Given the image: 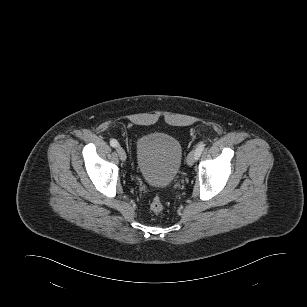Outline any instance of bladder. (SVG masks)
Segmentation results:
<instances>
[{
  "instance_id": "31cf9c89",
  "label": "bladder",
  "mask_w": 307,
  "mask_h": 307,
  "mask_svg": "<svg viewBox=\"0 0 307 307\" xmlns=\"http://www.w3.org/2000/svg\"><path fill=\"white\" fill-rule=\"evenodd\" d=\"M182 160V146L172 135L153 132L137 141V170L143 180L152 187H168L178 175Z\"/></svg>"
}]
</instances>
